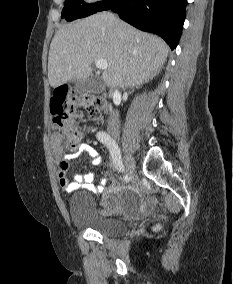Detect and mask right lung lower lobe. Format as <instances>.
<instances>
[{"label": "right lung lower lobe", "instance_id": "1", "mask_svg": "<svg viewBox=\"0 0 233 284\" xmlns=\"http://www.w3.org/2000/svg\"><path fill=\"white\" fill-rule=\"evenodd\" d=\"M187 0H106L97 10L111 9L136 28L161 36L175 49L182 33Z\"/></svg>", "mask_w": 233, "mask_h": 284}]
</instances>
